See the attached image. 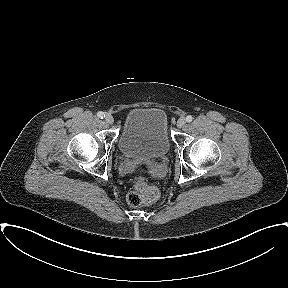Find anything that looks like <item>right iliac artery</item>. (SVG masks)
<instances>
[{
	"instance_id": "obj_1",
	"label": "right iliac artery",
	"mask_w": 288,
	"mask_h": 288,
	"mask_svg": "<svg viewBox=\"0 0 288 288\" xmlns=\"http://www.w3.org/2000/svg\"><path fill=\"white\" fill-rule=\"evenodd\" d=\"M97 116H98L99 118H101V119H102L103 117H105L104 113L101 112V111L97 113Z\"/></svg>"
}]
</instances>
